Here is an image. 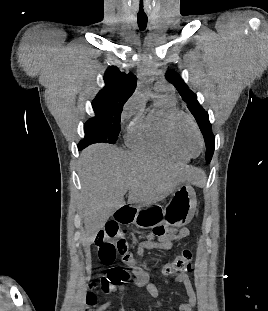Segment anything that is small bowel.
Here are the masks:
<instances>
[{
    "label": "small bowel",
    "instance_id": "obj_1",
    "mask_svg": "<svg viewBox=\"0 0 268 311\" xmlns=\"http://www.w3.org/2000/svg\"><path fill=\"white\" fill-rule=\"evenodd\" d=\"M190 234L189 229L186 227L178 230L169 229L164 230L162 226H155L153 233L146 236L139 237L137 244L136 254L137 257L129 263L132 272V283L138 287H145L152 297L160 295V288L152 283H149V275L144 271L138 261V257L144 255L147 250H169L177 242L188 237ZM167 284L181 283L183 284L188 297L187 302L181 303L178 307L179 311H193L197 305V294L194 286L186 272H180L172 280H167ZM110 306V303L103 304L97 308L96 311H104Z\"/></svg>",
    "mask_w": 268,
    "mask_h": 311
}]
</instances>
